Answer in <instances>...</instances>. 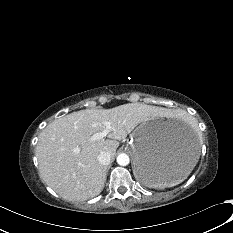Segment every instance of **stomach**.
I'll return each instance as SVG.
<instances>
[{
    "label": "stomach",
    "mask_w": 233,
    "mask_h": 233,
    "mask_svg": "<svg viewBox=\"0 0 233 233\" xmlns=\"http://www.w3.org/2000/svg\"><path fill=\"white\" fill-rule=\"evenodd\" d=\"M130 140L134 175L149 187L181 182L199 159L195 134L175 121L141 123L133 130Z\"/></svg>",
    "instance_id": "obj_1"
}]
</instances>
